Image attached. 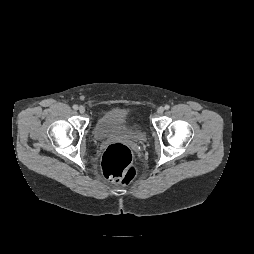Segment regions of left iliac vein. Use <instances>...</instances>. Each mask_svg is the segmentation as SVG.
<instances>
[{
    "label": "left iliac vein",
    "mask_w": 254,
    "mask_h": 254,
    "mask_svg": "<svg viewBox=\"0 0 254 254\" xmlns=\"http://www.w3.org/2000/svg\"><path fill=\"white\" fill-rule=\"evenodd\" d=\"M163 112H164V108H163V107H159V108L157 109V114H158V115H162Z\"/></svg>",
    "instance_id": "4c4485c4"
}]
</instances>
